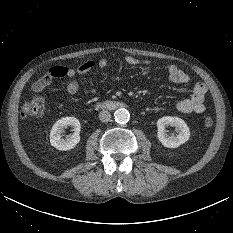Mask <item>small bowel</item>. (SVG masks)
<instances>
[{
  "label": "small bowel",
  "mask_w": 233,
  "mask_h": 233,
  "mask_svg": "<svg viewBox=\"0 0 233 233\" xmlns=\"http://www.w3.org/2000/svg\"><path fill=\"white\" fill-rule=\"evenodd\" d=\"M125 61L129 65H143L150 66L151 61L147 59H139L135 56L128 55ZM108 59L103 57L98 61L87 60L80 64L77 68H68L63 66H54L49 69V71L38 79L33 85L32 90L35 92H41L47 88L54 79L56 78H74L77 74H86L90 72L95 67L99 69H105L108 65ZM167 74L169 80L176 85H184L190 81L189 75L183 70L179 69L175 65H169L167 67ZM80 86L76 80H71L66 87L69 94L74 95L79 92ZM207 92V87L204 83L198 82L194 85L193 91L190 97L181 99L176 104V109L184 114L191 113H202L205 111V94ZM84 93L86 95H92L95 93L92 89H85Z\"/></svg>",
  "instance_id": "c3829d8e"
}]
</instances>
